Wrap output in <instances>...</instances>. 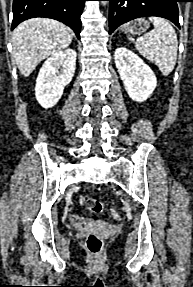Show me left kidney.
I'll list each match as a JSON object with an SVG mask.
<instances>
[{
    "label": "left kidney",
    "instance_id": "5707ae66",
    "mask_svg": "<svg viewBox=\"0 0 193 287\" xmlns=\"http://www.w3.org/2000/svg\"><path fill=\"white\" fill-rule=\"evenodd\" d=\"M116 68L130 98L136 102L146 101L157 85L151 68L135 53L119 47L114 54Z\"/></svg>",
    "mask_w": 193,
    "mask_h": 287
}]
</instances>
